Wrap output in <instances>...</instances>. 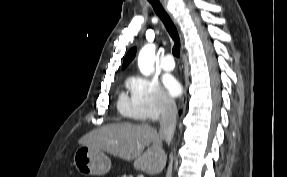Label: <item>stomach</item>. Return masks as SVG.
<instances>
[{
    "label": "stomach",
    "instance_id": "1",
    "mask_svg": "<svg viewBox=\"0 0 287 177\" xmlns=\"http://www.w3.org/2000/svg\"><path fill=\"white\" fill-rule=\"evenodd\" d=\"M74 165L84 175H104L111 168V161L102 150L81 145L74 154Z\"/></svg>",
    "mask_w": 287,
    "mask_h": 177
}]
</instances>
